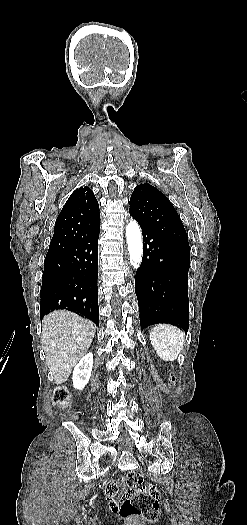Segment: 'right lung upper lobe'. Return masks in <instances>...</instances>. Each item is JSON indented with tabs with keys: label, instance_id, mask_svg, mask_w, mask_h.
<instances>
[{
	"label": "right lung upper lobe",
	"instance_id": "right-lung-upper-lobe-1",
	"mask_svg": "<svg viewBox=\"0 0 247 525\" xmlns=\"http://www.w3.org/2000/svg\"><path fill=\"white\" fill-rule=\"evenodd\" d=\"M100 229L99 205L88 187L76 189L56 219L47 255L57 254Z\"/></svg>",
	"mask_w": 247,
	"mask_h": 525
}]
</instances>
